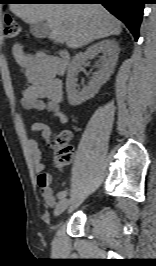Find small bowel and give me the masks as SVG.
Listing matches in <instances>:
<instances>
[{
	"label": "small bowel",
	"instance_id": "c3829d8e",
	"mask_svg": "<svg viewBox=\"0 0 156 266\" xmlns=\"http://www.w3.org/2000/svg\"><path fill=\"white\" fill-rule=\"evenodd\" d=\"M12 54L28 82L22 93V106L28 110H46L52 118L66 123L68 118L61 108L62 86L54 66L56 59L43 52H38L35 55L26 54L20 44L13 46ZM31 131L33 133L39 132L46 144L49 145L51 129L48 125L34 122L31 125ZM28 147L37 173V184L41 190L42 198L46 204L53 206L56 201L53 178L45 172L42 152L34 137L28 139Z\"/></svg>",
	"mask_w": 156,
	"mask_h": 266
}]
</instances>
